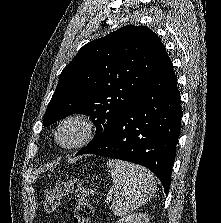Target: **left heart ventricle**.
<instances>
[{"label": "left heart ventricle", "instance_id": "left-heart-ventricle-1", "mask_svg": "<svg viewBox=\"0 0 221 223\" xmlns=\"http://www.w3.org/2000/svg\"><path fill=\"white\" fill-rule=\"evenodd\" d=\"M79 133L80 130L77 125L69 124L59 133V140L64 143L71 142L79 136Z\"/></svg>", "mask_w": 221, "mask_h": 223}]
</instances>
